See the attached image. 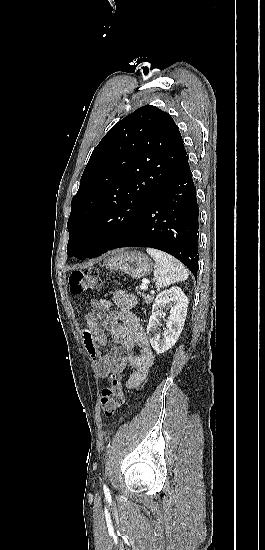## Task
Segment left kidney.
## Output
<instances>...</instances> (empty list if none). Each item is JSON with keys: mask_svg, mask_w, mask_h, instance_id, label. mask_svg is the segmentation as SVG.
I'll list each match as a JSON object with an SVG mask.
<instances>
[{"mask_svg": "<svg viewBox=\"0 0 265 550\" xmlns=\"http://www.w3.org/2000/svg\"><path fill=\"white\" fill-rule=\"evenodd\" d=\"M187 307L188 297L179 287H171L156 296L147 326V334L152 348L158 354L169 350L178 340L185 323ZM165 308H170V315L166 322L167 329L161 333V318L165 316L163 312Z\"/></svg>", "mask_w": 265, "mask_h": 550, "instance_id": "obj_1", "label": "left kidney"}]
</instances>
